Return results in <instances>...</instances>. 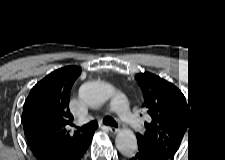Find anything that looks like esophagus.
Listing matches in <instances>:
<instances>
[{"label": "esophagus", "instance_id": "obj_1", "mask_svg": "<svg viewBox=\"0 0 225 160\" xmlns=\"http://www.w3.org/2000/svg\"><path fill=\"white\" fill-rule=\"evenodd\" d=\"M116 124H117L116 127H114V126H107V128H108L111 132H115V133H116V132L120 129V123L117 122Z\"/></svg>", "mask_w": 225, "mask_h": 160}]
</instances>
